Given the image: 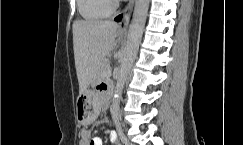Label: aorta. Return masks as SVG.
Masks as SVG:
<instances>
[{
    "label": "aorta",
    "instance_id": "aorta-1",
    "mask_svg": "<svg viewBox=\"0 0 243 145\" xmlns=\"http://www.w3.org/2000/svg\"><path fill=\"white\" fill-rule=\"evenodd\" d=\"M149 2V0L135 1L134 13L129 27L126 47L124 50V55L121 59L119 75L115 86L112 105L110 109L114 120H118L120 100L123 93V89L127 81L130 68L137 56V52L139 49L146 22Z\"/></svg>",
    "mask_w": 243,
    "mask_h": 145
}]
</instances>
